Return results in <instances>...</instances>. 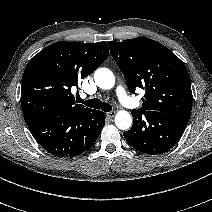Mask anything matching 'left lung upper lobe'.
Masks as SVG:
<instances>
[{
    "instance_id": "left-lung-upper-lobe-1",
    "label": "left lung upper lobe",
    "mask_w": 212,
    "mask_h": 212,
    "mask_svg": "<svg viewBox=\"0 0 212 212\" xmlns=\"http://www.w3.org/2000/svg\"><path fill=\"white\" fill-rule=\"evenodd\" d=\"M131 93L145 89L143 106L132 113L161 111L190 116L192 91L184 63L164 45L145 37L108 42Z\"/></svg>"
}]
</instances>
